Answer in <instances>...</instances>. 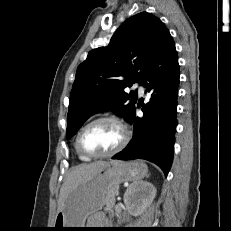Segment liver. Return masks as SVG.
I'll return each instance as SVG.
<instances>
[{"instance_id": "liver-1", "label": "liver", "mask_w": 231, "mask_h": 231, "mask_svg": "<svg viewBox=\"0 0 231 231\" xmlns=\"http://www.w3.org/2000/svg\"><path fill=\"white\" fill-rule=\"evenodd\" d=\"M108 163L104 161H96L89 164H80L73 167L66 175L65 181L60 189L58 199V212L64 206V203L71 193L79 184L91 178L100 169L104 168Z\"/></svg>"}]
</instances>
